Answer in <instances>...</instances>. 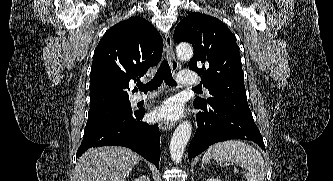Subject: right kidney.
Returning a JSON list of instances; mask_svg holds the SVG:
<instances>
[{
    "mask_svg": "<svg viewBox=\"0 0 333 181\" xmlns=\"http://www.w3.org/2000/svg\"><path fill=\"white\" fill-rule=\"evenodd\" d=\"M134 181H150L148 176H140L139 178L135 179Z\"/></svg>",
    "mask_w": 333,
    "mask_h": 181,
    "instance_id": "obj_1",
    "label": "right kidney"
}]
</instances>
